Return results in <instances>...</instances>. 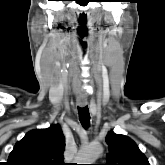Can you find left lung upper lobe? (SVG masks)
Segmentation results:
<instances>
[{"label": "left lung upper lobe", "mask_w": 165, "mask_h": 165, "mask_svg": "<svg viewBox=\"0 0 165 165\" xmlns=\"http://www.w3.org/2000/svg\"><path fill=\"white\" fill-rule=\"evenodd\" d=\"M109 153L105 165H150L145 155L129 137L110 131L106 136Z\"/></svg>", "instance_id": "left-lung-upper-lobe-1"}]
</instances>
